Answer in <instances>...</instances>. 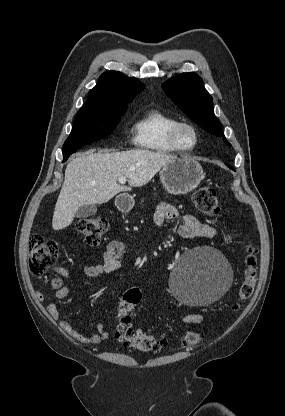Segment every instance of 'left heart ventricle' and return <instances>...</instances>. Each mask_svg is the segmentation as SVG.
I'll use <instances>...</instances> for the list:
<instances>
[{
    "label": "left heart ventricle",
    "instance_id": "1",
    "mask_svg": "<svg viewBox=\"0 0 285 416\" xmlns=\"http://www.w3.org/2000/svg\"><path fill=\"white\" fill-rule=\"evenodd\" d=\"M180 141L181 144L185 147H192L195 143L194 135L192 131L188 128H183L180 131Z\"/></svg>",
    "mask_w": 285,
    "mask_h": 416
}]
</instances>
